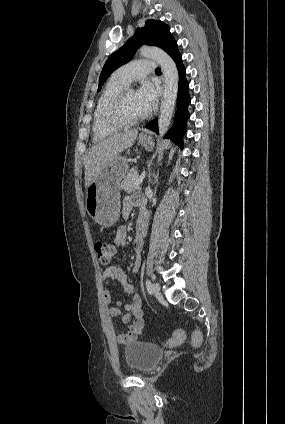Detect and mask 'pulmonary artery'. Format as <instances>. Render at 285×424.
<instances>
[{"mask_svg": "<svg viewBox=\"0 0 285 424\" xmlns=\"http://www.w3.org/2000/svg\"><path fill=\"white\" fill-rule=\"evenodd\" d=\"M154 69V61L146 59H136L117 69L113 74V78L127 85L137 79L145 77L147 74L153 72Z\"/></svg>", "mask_w": 285, "mask_h": 424, "instance_id": "e3ab8cb5", "label": "pulmonary artery"}]
</instances>
